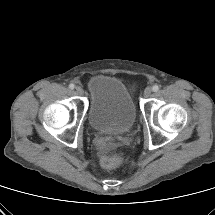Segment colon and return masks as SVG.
I'll return each mask as SVG.
<instances>
[{
	"label": "colon",
	"instance_id": "obj_1",
	"mask_svg": "<svg viewBox=\"0 0 215 215\" xmlns=\"http://www.w3.org/2000/svg\"><path fill=\"white\" fill-rule=\"evenodd\" d=\"M121 163L122 156L120 155H103L101 158L102 167L108 170L118 167Z\"/></svg>",
	"mask_w": 215,
	"mask_h": 215
}]
</instances>
